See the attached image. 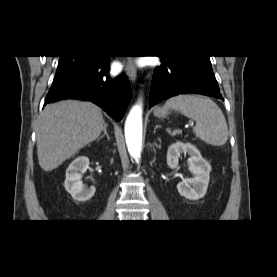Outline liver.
Wrapping results in <instances>:
<instances>
[{"label":"liver","mask_w":277,"mask_h":277,"mask_svg":"<svg viewBox=\"0 0 277 277\" xmlns=\"http://www.w3.org/2000/svg\"><path fill=\"white\" fill-rule=\"evenodd\" d=\"M105 126L101 109L93 103L65 100L47 105L36 130L40 167L57 168L96 140Z\"/></svg>","instance_id":"1"}]
</instances>
